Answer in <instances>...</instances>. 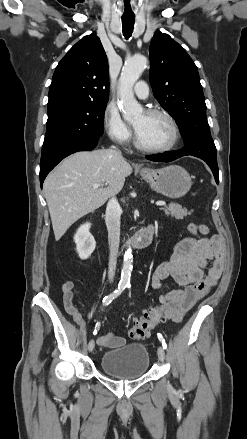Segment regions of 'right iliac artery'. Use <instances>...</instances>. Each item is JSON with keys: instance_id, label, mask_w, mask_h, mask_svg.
<instances>
[{"instance_id": "82829eb1", "label": "right iliac artery", "mask_w": 247, "mask_h": 439, "mask_svg": "<svg viewBox=\"0 0 247 439\" xmlns=\"http://www.w3.org/2000/svg\"><path fill=\"white\" fill-rule=\"evenodd\" d=\"M126 287L127 285L120 283L118 285V288L113 293H110L109 295L103 298V306H107L108 304H110L113 301V299L118 297L124 291ZM99 329H100V322H97L94 332L97 333Z\"/></svg>"}]
</instances>
